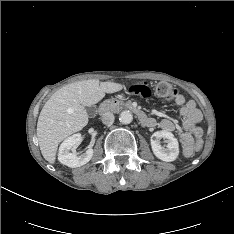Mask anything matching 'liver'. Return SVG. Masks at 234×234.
I'll list each match as a JSON object with an SVG mask.
<instances>
[{"label": "liver", "mask_w": 234, "mask_h": 234, "mask_svg": "<svg viewBox=\"0 0 234 234\" xmlns=\"http://www.w3.org/2000/svg\"><path fill=\"white\" fill-rule=\"evenodd\" d=\"M123 87L119 83L90 79L69 84L54 93L43 106L37 122V137L45 160L53 164L58 144L87 125L85 106H92L105 93H115Z\"/></svg>", "instance_id": "6515ba94"}]
</instances>
